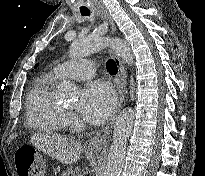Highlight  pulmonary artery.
Instances as JSON below:
<instances>
[{"label":"pulmonary artery","instance_id":"1","mask_svg":"<svg viewBox=\"0 0 205 176\" xmlns=\"http://www.w3.org/2000/svg\"><path fill=\"white\" fill-rule=\"evenodd\" d=\"M58 78L88 79L94 76L95 66L83 59L60 63L54 67Z\"/></svg>","mask_w":205,"mask_h":176}]
</instances>
